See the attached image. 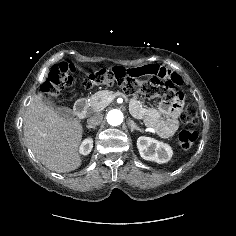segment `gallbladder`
<instances>
[{"label":"gallbladder","mask_w":236,"mask_h":236,"mask_svg":"<svg viewBox=\"0 0 236 236\" xmlns=\"http://www.w3.org/2000/svg\"><path fill=\"white\" fill-rule=\"evenodd\" d=\"M38 97L40 98V100H41L44 104H46L47 106L53 108V109H54L55 111H57L61 116L65 117V118H72V117H73L72 110L69 109L68 107L56 106L53 101H51L50 99H46L42 93H39V94H38Z\"/></svg>","instance_id":"1"}]
</instances>
